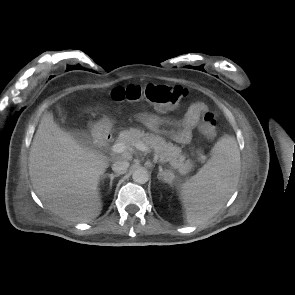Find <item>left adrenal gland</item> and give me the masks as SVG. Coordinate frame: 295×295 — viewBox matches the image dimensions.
Wrapping results in <instances>:
<instances>
[{
    "label": "left adrenal gland",
    "instance_id": "a2214340",
    "mask_svg": "<svg viewBox=\"0 0 295 295\" xmlns=\"http://www.w3.org/2000/svg\"><path fill=\"white\" fill-rule=\"evenodd\" d=\"M170 174H171L170 171H168V170L163 171L162 166H159V173H158L157 177L160 181H163L164 183L169 184L170 181H169L168 177Z\"/></svg>",
    "mask_w": 295,
    "mask_h": 295
}]
</instances>
